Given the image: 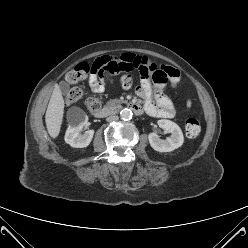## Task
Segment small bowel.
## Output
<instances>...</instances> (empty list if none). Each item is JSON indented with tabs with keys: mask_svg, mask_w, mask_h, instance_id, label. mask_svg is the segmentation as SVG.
Masks as SVG:
<instances>
[{
	"mask_svg": "<svg viewBox=\"0 0 248 248\" xmlns=\"http://www.w3.org/2000/svg\"><path fill=\"white\" fill-rule=\"evenodd\" d=\"M103 63H113L115 70L133 71L139 70L147 74H154L158 78L160 75L166 80H170L172 86L176 88L180 83V74L173 67L158 63L153 59L136 55L131 52H125L115 56H104L99 59ZM151 78L146 77L141 81L137 88V94L144 99V112L157 118H171L175 114L172 101L164 92L163 82H157L155 88L152 87ZM90 89L94 93H103L106 90L105 84L95 75L88 79Z\"/></svg>",
	"mask_w": 248,
	"mask_h": 248,
	"instance_id": "c3829d8e",
	"label": "small bowel"
}]
</instances>
